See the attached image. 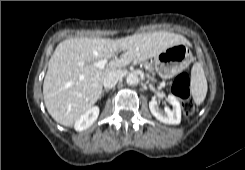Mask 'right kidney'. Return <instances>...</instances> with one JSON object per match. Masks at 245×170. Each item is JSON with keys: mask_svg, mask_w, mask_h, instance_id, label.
Listing matches in <instances>:
<instances>
[{"mask_svg": "<svg viewBox=\"0 0 245 170\" xmlns=\"http://www.w3.org/2000/svg\"><path fill=\"white\" fill-rule=\"evenodd\" d=\"M99 108L91 107L75 122L74 128L76 131H84L89 128L98 118Z\"/></svg>", "mask_w": 245, "mask_h": 170, "instance_id": "right-kidney-1", "label": "right kidney"}]
</instances>
